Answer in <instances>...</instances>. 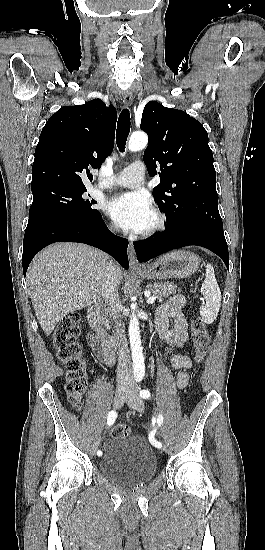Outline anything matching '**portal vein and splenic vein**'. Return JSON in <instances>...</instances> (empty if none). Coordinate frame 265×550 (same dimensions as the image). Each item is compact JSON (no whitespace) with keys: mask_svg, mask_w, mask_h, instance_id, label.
<instances>
[{"mask_svg":"<svg viewBox=\"0 0 265 550\" xmlns=\"http://www.w3.org/2000/svg\"><path fill=\"white\" fill-rule=\"evenodd\" d=\"M155 300H156V297H154V296L148 297L147 303L148 304H153L155 302Z\"/></svg>","mask_w":265,"mask_h":550,"instance_id":"18ae733b","label":"portal vein and splenic vein"}]
</instances>
